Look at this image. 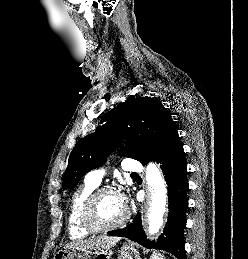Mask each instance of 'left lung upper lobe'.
Returning a JSON list of instances; mask_svg holds the SVG:
<instances>
[{
  "mask_svg": "<svg viewBox=\"0 0 248 259\" xmlns=\"http://www.w3.org/2000/svg\"><path fill=\"white\" fill-rule=\"evenodd\" d=\"M129 141L121 155L143 165L180 140L170 112L151 97L130 98L120 104L107 122L84 137L72 150L63 178V189H73L88 171L98 168L122 139Z\"/></svg>",
  "mask_w": 248,
  "mask_h": 259,
  "instance_id": "left-lung-upper-lobe-1",
  "label": "left lung upper lobe"
}]
</instances>
